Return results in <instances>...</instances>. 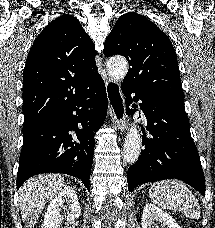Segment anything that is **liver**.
<instances>
[{
  "label": "liver",
  "mask_w": 215,
  "mask_h": 228,
  "mask_svg": "<svg viewBox=\"0 0 215 228\" xmlns=\"http://www.w3.org/2000/svg\"><path fill=\"white\" fill-rule=\"evenodd\" d=\"M64 186L61 174H39L24 182L19 190V202L25 228H34L38 214Z\"/></svg>",
  "instance_id": "1"
}]
</instances>
